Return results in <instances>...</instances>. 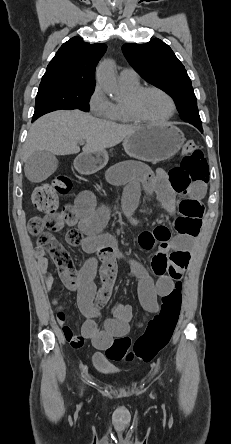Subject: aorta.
Returning a JSON list of instances; mask_svg holds the SVG:
<instances>
[{
  "mask_svg": "<svg viewBox=\"0 0 231 444\" xmlns=\"http://www.w3.org/2000/svg\"><path fill=\"white\" fill-rule=\"evenodd\" d=\"M97 81L113 97L119 93L120 87L115 74V66L111 60L103 61L99 65Z\"/></svg>",
  "mask_w": 231,
  "mask_h": 444,
  "instance_id": "762f6f07",
  "label": "aorta"
}]
</instances>
